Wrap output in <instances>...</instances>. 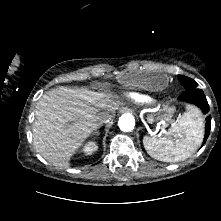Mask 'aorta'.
Masks as SVG:
<instances>
[{"mask_svg":"<svg viewBox=\"0 0 221 221\" xmlns=\"http://www.w3.org/2000/svg\"><path fill=\"white\" fill-rule=\"evenodd\" d=\"M118 126L121 131L129 132L134 129L135 119L131 114H123L118 121Z\"/></svg>","mask_w":221,"mask_h":221,"instance_id":"aorta-1","label":"aorta"}]
</instances>
